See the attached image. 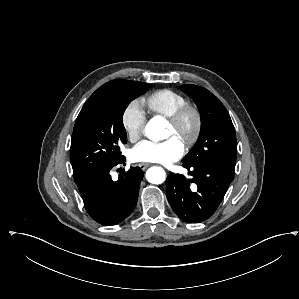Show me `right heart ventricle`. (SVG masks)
I'll return each instance as SVG.
<instances>
[{"label":"right heart ventricle","instance_id":"e07e8e85","mask_svg":"<svg viewBox=\"0 0 299 299\" xmlns=\"http://www.w3.org/2000/svg\"><path fill=\"white\" fill-rule=\"evenodd\" d=\"M145 103L151 112L169 118L186 103V99L175 90L160 89L147 96Z\"/></svg>","mask_w":299,"mask_h":299}]
</instances>
